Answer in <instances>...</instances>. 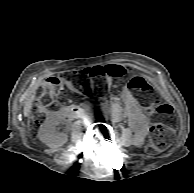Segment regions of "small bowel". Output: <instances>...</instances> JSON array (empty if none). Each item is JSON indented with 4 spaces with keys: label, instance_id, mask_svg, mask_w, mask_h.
Returning a JSON list of instances; mask_svg holds the SVG:
<instances>
[{
    "label": "small bowel",
    "instance_id": "small-bowel-1",
    "mask_svg": "<svg viewBox=\"0 0 194 193\" xmlns=\"http://www.w3.org/2000/svg\"><path fill=\"white\" fill-rule=\"evenodd\" d=\"M121 97L124 101L125 111L129 117L130 125L138 136H145L148 128V119L146 114L142 111L138 102L131 95L128 89L122 90Z\"/></svg>",
    "mask_w": 194,
    "mask_h": 193
}]
</instances>
